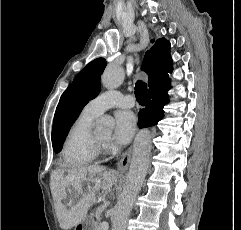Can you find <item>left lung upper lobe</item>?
<instances>
[{"instance_id":"left-lung-upper-lobe-1","label":"left lung upper lobe","mask_w":241,"mask_h":230,"mask_svg":"<svg viewBox=\"0 0 241 230\" xmlns=\"http://www.w3.org/2000/svg\"><path fill=\"white\" fill-rule=\"evenodd\" d=\"M105 67L104 58L90 62L61 96L52 127V146L55 153L61 151L70 127L83 107L100 92V75Z\"/></svg>"}]
</instances>
